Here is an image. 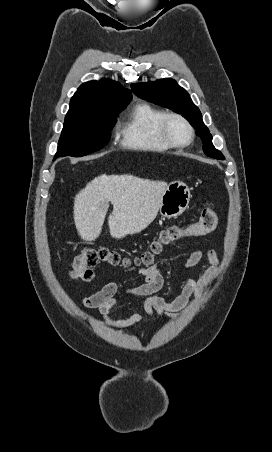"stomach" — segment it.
Here are the masks:
<instances>
[{
  "instance_id": "stomach-1",
  "label": "stomach",
  "mask_w": 272,
  "mask_h": 452,
  "mask_svg": "<svg viewBox=\"0 0 272 452\" xmlns=\"http://www.w3.org/2000/svg\"><path fill=\"white\" fill-rule=\"evenodd\" d=\"M191 197L190 189L184 182H171L162 197L159 208L161 217H178L188 208Z\"/></svg>"
}]
</instances>
